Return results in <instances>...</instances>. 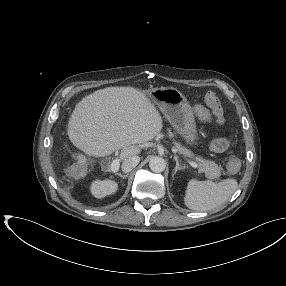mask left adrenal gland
Instances as JSON below:
<instances>
[{
  "label": "left adrenal gland",
  "mask_w": 286,
  "mask_h": 286,
  "mask_svg": "<svg viewBox=\"0 0 286 286\" xmlns=\"http://www.w3.org/2000/svg\"><path fill=\"white\" fill-rule=\"evenodd\" d=\"M174 159H175V161H176V166H175V169H174V174H176L177 171L183 170L185 167H184V166H181V165L179 164V161H178V158H177L176 155L174 156Z\"/></svg>",
  "instance_id": "a2214340"
}]
</instances>
